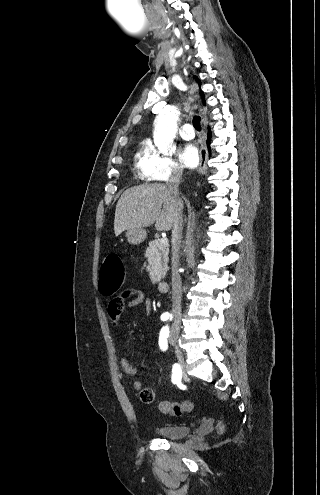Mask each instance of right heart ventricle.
<instances>
[{"label": "right heart ventricle", "instance_id": "obj_1", "mask_svg": "<svg viewBox=\"0 0 320 495\" xmlns=\"http://www.w3.org/2000/svg\"><path fill=\"white\" fill-rule=\"evenodd\" d=\"M146 152L144 150H140L136 153L135 155V166L138 170L139 176L141 178H147L146 175V169H145V159H146Z\"/></svg>", "mask_w": 320, "mask_h": 495}]
</instances>
